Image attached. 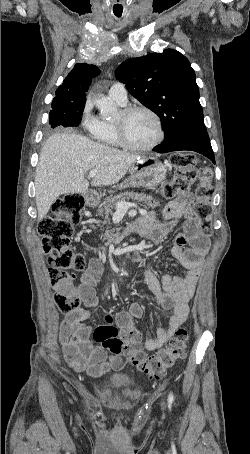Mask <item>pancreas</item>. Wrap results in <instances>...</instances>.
<instances>
[{"instance_id": "cf45deb5", "label": "pancreas", "mask_w": 250, "mask_h": 454, "mask_svg": "<svg viewBox=\"0 0 250 454\" xmlns=\"http://www.w3.org/2000/svg\"><path fill=\"white\" fill-rule=\"evenodd\" d=\"M130 198H135V199H139L140 201H145L147 203L148 209L149 208L153 209L159 204V202L155 201V200H153V202H151L152 201L151 196H146L144 194H137V193H133V192H125V193L119 194L113 198L106 199L101 204V207L98 209V212L100 215H103V212H105L106 215H109L112 213V210L116 207V204L119 201H124L125 199H130ZM114 231L115 230L106 231V233H105L106 239H108L109 241L113 240L114 237H116V234H114Z\"/></svg>"}]
</instances>
